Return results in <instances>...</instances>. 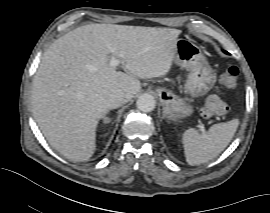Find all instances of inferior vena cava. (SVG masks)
Listing matches in <instances>:
<instances>
[{
	"label": "inferior vena cava",
	"mask_w": 270,
	"mask_h": 213,
	"mask_svg": "<svg viewBox=\"0 0 270 213\" xmlns=\"http://www.w3.org/2000/svg\"><path fill=\"white\" fill-rule=\"evenodd\" d=\"M109 101L113 107H119L127 102L126 95L121 90H114L109 95Z\"/></svg>",
	"instance_id": "inferior-vena-cava-1"
}]
</instances>
